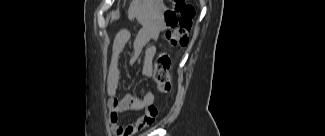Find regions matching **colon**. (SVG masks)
Listing matches in <instances>:
<instances>
[{"label":"colon","mask_w":325,"mask_h":136,"mask_svg":"<svg viewBox=\"0 0 325 136\" xmlns=\"http://www.w3.org/2000/svg\"><path fill=\"white\" fill-rule=\"evenodd\" d=\"M171 7L165 11V40L168 45L185 47L190 42L189 33L193 26L194 8L187 0H170ZM170 57L165 50L157 55L153 63V76L159 92L168 95L172 90L169 74Z\"/></svg>","instance_id":"colon-1"}]
</instances>
